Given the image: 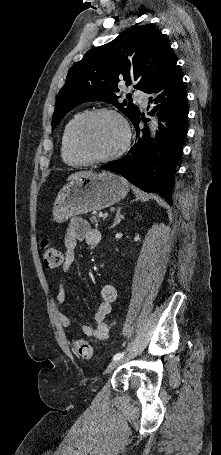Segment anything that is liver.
Listing matches in <instances>:
<instances>
[{"label":"liver","instance_id":"obj_1","mask_svg":"<svg viewBox=\"0 0 221 455\" xmlns=\"http://www.w3.org/2000/svg\"><path fill=\"white\" fill-rule=\"evenodd\" d=\"M95 173H93L92 171H79V172H76L72 175H70L67 180H74V179H77L79 177H85V176H90V175H94Z\"/></svg>","mask_w":221,"mask_h":455}]
</instances>
